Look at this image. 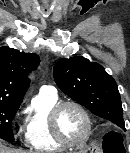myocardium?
Returning a JSON list of instances; mask_svg holds the SVG:
<instances>
[{
	"label": "myocardium",
	"instance_id": "1",
	"mask_svg": "<svg viewBox=\"0 0 130 153\" xmlns=\"http://www.w3.org/2000/svg\"><path fill=\"white\" fill-rule=\"evenodd\" d=\"M66 106H73L77 108L83 115L86 122V131L79 141H71L65 138L59 127V114ZM49 128L54 139L65 147H81L89 140L92 133V120L87 109L79 102L74 100L59 101L56 103L49 113Z\"/></svg>",
	"mask_w": 130,
	"mask_h": 153
}]
</instances>
